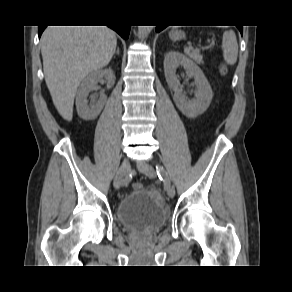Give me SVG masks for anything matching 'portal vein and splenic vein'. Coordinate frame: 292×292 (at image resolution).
<instances>
[{
	"mask_svg": "<svg viewBox=\"0 0 292 292\" xmlns=\"http://www.w3.org/2000/svg\"><path fill=\"white\" fill-rule=\"evenodd\" d=\"M189 49H192V47H186V48L184 49V51L187 52V51H189Z\"/></svg>",
	"mask_w": 292,
	"mask_h": 292,
	"instance_id": "portal-vein-and-splenic-vein-1",
	"label": "portal vein and splenic vein"
}]
</instances>
